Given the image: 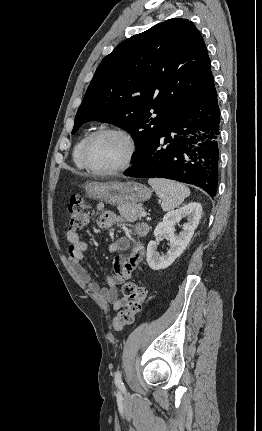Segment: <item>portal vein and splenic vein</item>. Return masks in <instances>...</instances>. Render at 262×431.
Masks as SVG:
<instances>
[{"mask_svg":"<svg viewBox=\"0 0 262 431\" xmlns=\"http://www.w3.org/2000/svg\"><path fill=\"white\" fill-rule=\"evenodd\" d=\"M140 216H141V217H146V216H147V213H146L145 211H143V212H141Z\"/></svg>","mask_w":262,"mask_h":431,"instance_id":"18ae733b","label":"portal vein and splenic vein"}]
</instances>
